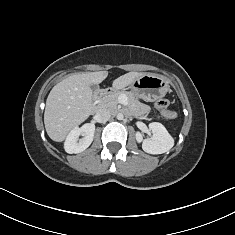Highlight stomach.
<instances>
[{
  "mask_svg": "<svg viewBox=\"0 0 235 235\" xmlns=\"http://www.w3.org/2000/svg\"><path fill=\"white\" fill-rule=\"evenodd\" d=\"M130 88L136 98L151 102L164 97L169 90V84L161 75L144 74L137 78Z\"/></svg>",
  "mask_w": 235,
  "mask_h": 235,
  "instance_id": "stomach-1",
  "label": "stomach"
}]
</instances>
